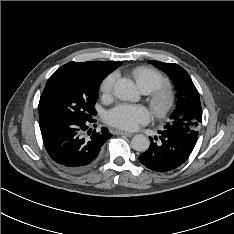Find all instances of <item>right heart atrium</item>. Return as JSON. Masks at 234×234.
<instances>
[{
    "label": "right heart atrium",
    "mask_w": 234,
    "mask_h": 234,
    "mask_svg": "<svg viewBox=\"0 0 234 234\" xmlns=\"http://www.w3.org/2000/svg\"><path fill=\"white\" fill-rule=\"evenodd\" d=\"M115 80L116 75L114 73L109 74L103 79L100 85V90L103 95H109L112 92Z\"/></svg>",
    "instance_id": "right-heart-atrium-1"
}]
</instances>
